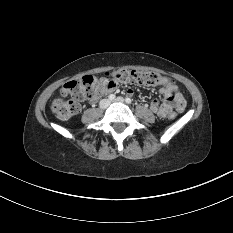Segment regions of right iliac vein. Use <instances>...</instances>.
I'll use <instances>...</instances> for the list:
<instances>
[{"mask_svg": "<svg viewBox=\"0 0 233 233\" xmlns=\"http://www.w3.org/2000/svg\"><path fill=\"white\" fill-rule=\"evenodd\" d=\"M109 104H110L109 100L104 99L101 101L100 106H101V108L105 109L109 106Z\"/></svg>", "mask_w": 233, "mask_h": 233, "instance_id": "right-iliac-vein-1", "label": "right iliac vein"}]
</instances>
